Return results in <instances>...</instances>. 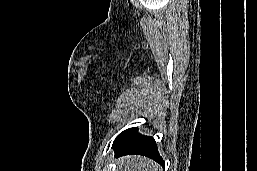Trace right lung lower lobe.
I'll use <instances>...</instances> for the list:
<instances>
[{"label":"right lung lower lobe","mask_w":257,"mask_h":171,"mask_svg":"<svg viewBox=\"0 0 257 171\" xmlns=\"http://www.w3.org/2000/svg\"><path fill=\"white\" fill-rule=\"evenodd\" d=\"M116 156L144 155L158 162L163 167L165 162L158 153L153 137L141 135L137 128H129L120 133L114 140L113 146Z\"/></svg>","instance_id":"obj_1"}]
</instances>
